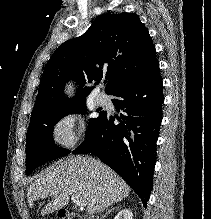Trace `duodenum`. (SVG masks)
Returning <instances> with one entry per match:
<instances>
[{
	"mask_svg": "<svg viewBox=\"0 0 211 219\" xmlns=\"http://www.w3.org/2000/svg\"><path fill=\"white\" fill-rule=\"evenodd\" d=\"M77 219H95V218H91V217H79V216H77Z\"/></svg>",
	"mask_w": 211,
	"mask_h": 219,
	"instance_id": "410a0bca",
	"label": "duodenum"
}]
</instances>
